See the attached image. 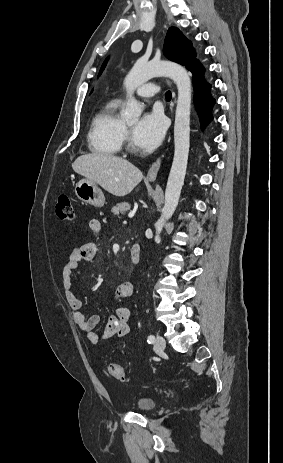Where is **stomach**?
Returning a JSON list of instances; mask_svg holds the SVG:
<instances>
[{
	"instance_id": "obj_1",
	"label": "stomach",
	"mask_w": 283,
	"mask_h": 463,
	"mask_svg": "<svg viewBox=\"0 0 283 463\" xmlns=\"http://www.w3.org/2000/svg\"><path fill=\"white\" fill-rule=\"evenodd\" d=\"M75 194L82 202L101 208L105 204V196L97 183L88 179L80 180L75 186Z\"/></svg>"
}]
</instances>
